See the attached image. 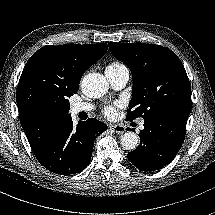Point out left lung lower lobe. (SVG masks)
<instances>
[{"label": "left lung lower lobe", "instance_id": "left-lung-lower-lobe-1", "mask_svg": "<svg viewBox=\"0 0 215 215\" xmlns=\"http://www.w3.org/2000/svg\"><path fill=\"white\" fill-rule=\"evenodd\" d=\"M186 115L158 116L144 121L140 145L127 154L129 161L142 171H155L168 165L185 138Z\"/></svg>", "mask_w": 215, "mask_h": 215}]
</instances>
